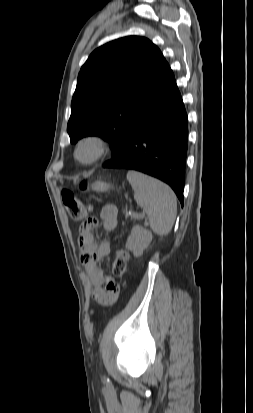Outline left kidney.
Segmentation results:
<instances>
[{"instance_id": "obj_1", "label": "left kidney", "mask_w": 253, "mask_h": 413, "mask_svg": "<svg viewBox=\"0 0 253 413\" xmlns=\"http://www.w3.org/2000/svg\"><path fill=\"white\" fill-rule=\"evenodd\" d=\"M152 241V233L142 226L132 228L127 239L126 248L131 250L135 257H140Z\"/></svg>"}]
</instances>
